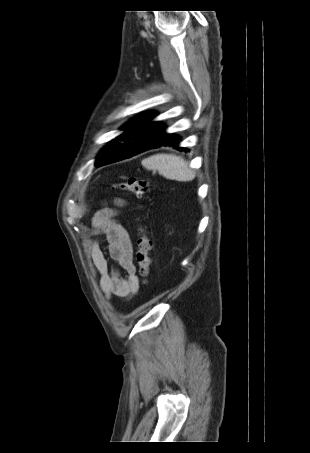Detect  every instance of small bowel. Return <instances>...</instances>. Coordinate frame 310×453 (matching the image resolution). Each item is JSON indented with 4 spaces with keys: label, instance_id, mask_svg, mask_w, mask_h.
I'll return each instance as SVG.
<instances>
[{
    "label": "small bowel",
    "instance_id": "small-bowel-1",
    "mask_svg": "<svg viewBox=\"0 0 310 453\" xmlns=\"http://www.w3.org/2000/svg\"><path fill=\"white\" fill-rule=\"evenodd\" d=\"M116 203L124 205L120 199ZM116 216V210L103 208L95 214L92 225L98 234L106 235L109 257L125 272V275L122 276L118 268L109 267L98 240H93L88 245L91 261L99 274L100 289L107 300L113 296L128 299L139 289L131 236L125 225L115 218Z\"/></svg>",
    "mask_w": 310,
    "mask_h": 453
}]
</instances>
